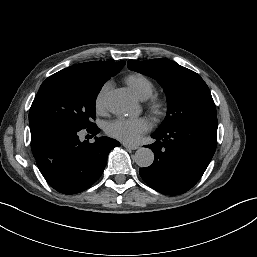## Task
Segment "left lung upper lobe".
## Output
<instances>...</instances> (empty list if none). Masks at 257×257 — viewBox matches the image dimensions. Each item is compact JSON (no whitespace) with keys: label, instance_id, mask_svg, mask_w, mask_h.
Instances as JSON below:
<instances>
[{"label":"left lung upper lobe","instance_id":"obj_1","mask_svg":"<svg viewBox=\"0 0 257 257\" xmlns=\"http://www.w3.org/2000/svg\"><path fill=\"white\" fill-rule=\"evenodd\" d=\"M128 68L157 80L168 103L167 116L157 131L195 118L216 115L210 90L195 72L166 58L146 61L129 60Z\"/></svg>","mask_w":257,"mask_h":257}]
</instances>
